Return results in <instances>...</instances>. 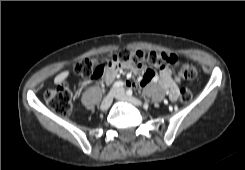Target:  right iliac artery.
Instances as JSON below:
<instances>
[{
    "label": "right iliac artery",
    "mask_w": 245,
    "mask_h": 170,
    "mask_svg": "<svg viewBox=\"0 0 245 170\" xmlns=\"http://www.w3.org/2000/svg\"><path fill=\"white\" fill-rule=\"evenodd\" d=\"M123 86V82L122 81H117L113 84V88H118V87H122Z\"/></svg>",
    "instance_id": "82829eb1"
}]
</instances>
